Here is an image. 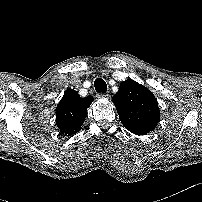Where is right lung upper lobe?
Instances as JSON below:
<instances>
[{
	"label": "right lung upper lobe",
	"instance_id": "right-lung-upper-lobe-1",
	"mask_svg": "<svg viewBox=\"0 0 202 202\" xmlns=\"http://www.w3.org/2000/svg\"><path fill=\"white\" fill-rule=\"evenodd\" d=\"M93 100L92 96L81 98L75 90H66L56 107V123L60 133L70 136L79 132Z\"/></svg>",
	"mask_w": 202,
	"mask_h": 202
}]
</instances>
